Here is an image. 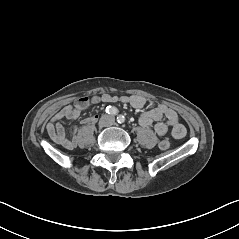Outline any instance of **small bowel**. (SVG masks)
<instances>
[{
  "mask_svg": "<svg viewBox=\"0 0 239 239\" xmlns=\"http://www.w3.org/2000/svg\"><path fill=\"white\" fill-rule=\"evenodd\" d=\"M124 103L130 104L134 108H142L146 104V99L139 95L131 96H117L108 93L102 95L93 96L91 99L87 100L84 104L74 103L66 106L60 110L54 118L47 125V133L49 137L57 144L63 146L66 149H73L76 147V129L71 127L65 129L61 124V121L66 119L69 121L76 120L83 109L88 104L97 103ZM165 119V121H162ZM94 121L93 118H87L85 120L86 124H90ZM138 122L142 126H150L155 123L154 130L156 134L163 136L171 130L172 136L175 139H181L186 135V128L180 122L178 114L166 104H159L155 108L143 112L138 116Z\"/></svg>",
  "mask_w": 239,
  "mask_h": 239,
  "instance_id": "c3829d8e",
  "label": "small bowel"
}]
</instances>
